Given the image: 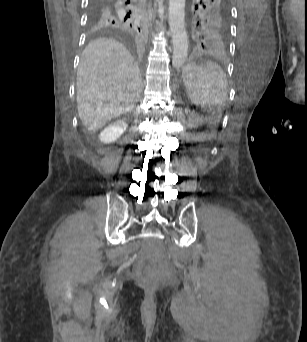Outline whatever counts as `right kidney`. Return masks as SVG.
<instances>
[{
  "label": "right kidney",
  "instance_id": "right-kidney-1",
  "mask_svg": "<svg viewBox=\"0 0 307 342\" xmlns=\"http://www.w3.org/2000/svg\"><path fill=\"white\" fill-rule=\"evenodd\" d=\"M126 128L127 124L125 120H117V122H113V124L107 126V128L99 134V140L100 142H103V144H111V142H115V140H118V138L122 136Z\"/></svg>",
  "mask_w": 307,
  "mask_h": 342
}]
</instances>
